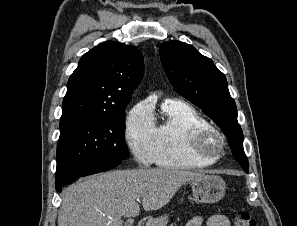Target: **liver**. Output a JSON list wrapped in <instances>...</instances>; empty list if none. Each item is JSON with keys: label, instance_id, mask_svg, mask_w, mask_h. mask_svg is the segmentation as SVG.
Masks as SVG:
<instances>
[{"label": "liver", "instance_id": "obj_1", "mask_svg": "<svg viewBox=\"0 0 297 226\" xmlns=\"http://www.w3.org/2000/svg\"><path fill=\"white\" fill-rule=\"evenodd\" d=\"M203 172L177 169L115 170L93 175L69 186L58 213V226H122V217H136L142 198L145 211L165 206L185 183Z\"/></svg>", "mask_w": 297, "mask_h": 226}]
</instances>
